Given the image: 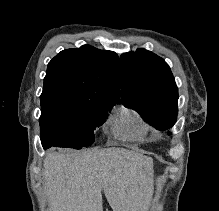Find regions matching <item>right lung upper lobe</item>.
Returning a JSON list of instances; mask_svg holds the SVG:
<instances>
[{"label":"right lung upper lobe","mask_w":219,"mask_h":211,"mask_svg":"<svg viewBox=\"0 0 219 211\" xmlns=\"http://www.w3.org/2000/svg\"><path fill=\"white\" fill-rule=\"evenodd\" d=\"M57 95L93 103L120 101L119 58L90 45L61 51L48 64L41 97Z\"/></svg>","instance_id":"obj_1"}]
</instances>
